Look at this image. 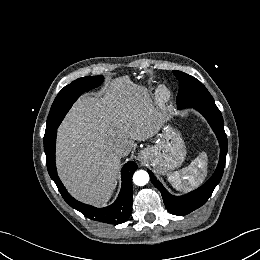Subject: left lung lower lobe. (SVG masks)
Here are the masks:
<instances>
[{
	"instance_id": "obj_1",
	"label": "left lung lower lobe",
	"mask_w": 260,
	"mask_h": 260,
	"mask_svg": "<svg viewBox=\"0 0 260 260\" xmlns=\"http://www.w3.org/2000/svg\"><path fill=\"white\" fill-rule=\"evenodd\" d=\"M191 107L199 111L206 118L215 132L221 148L220 159L216 171L202 187L180 197L168 193L164 186L154 177L153 173L148 170L152 183L162 194L167 210L174 215H186L205 204L221 180L226 161L227 137L224 131V122L221 112L215 104L194 103L191 104Z\"/></svg>"
}]
</instances>
